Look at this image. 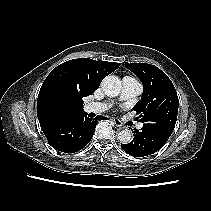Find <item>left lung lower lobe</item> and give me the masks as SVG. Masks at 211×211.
<instances>
[{
  "label": "left lung lower lobe",
  "instance_id": "1",
  "mask_svg": "<svg viewBox=\"0 0 211 211\" xmlns=\"http://www.w3.org/2000/svg\"><path fill=\"white\" fill-rule=\"evenodd\" d=\"M133 140L128 144H121V148L128 154L135 157H144L159 151L167 142L160 136L142 129H135Z\"/></svg>",
  "mask_w": 211,
  "mask_h": 211
}]
</instances>
